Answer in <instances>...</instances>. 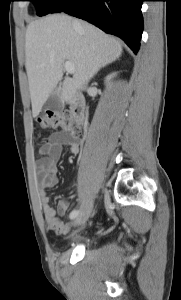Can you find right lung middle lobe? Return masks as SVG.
<instances>
[{"instance_id": "right-lung-middle-lobe-1", "label": "right lung middle lobe", "mask_w": 181, "mask_h": 300, "mask_svg": "<svg viewBox=\"0 0 181 300\" xmlns=\"http://www.w3.org/2000/svg\"><path fill=\"white\" fill-rule=\"evenodd\" d=\"M32 1L37 9L39 16H44L48 13H54V11L62 5L64 0H28Z\"/></svg>"}]
</instances>
